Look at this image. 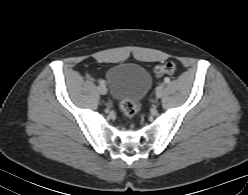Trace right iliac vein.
Wrapping results in <instances>:
<instances>
[{"mask_svg": "<svg viewBox=\"0 0 248 195\" xmlns=\"http://www.w3.org/2000/svg\"><path fill=\"white\" fill-rule=\"evenodd\" d=\"M97 90L100 94L104 95L107 93V88L104 85H100L97 87Z\"/></svg>", "mask_w": 248, "mask_h": 195, "instance_id": "63e3f726", "label": "right iliac vein"}]
</instances>
